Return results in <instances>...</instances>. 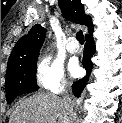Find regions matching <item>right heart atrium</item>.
I'll return each mask as SVG.
<instances>
[{
	"instance_id": "1",
	"label": "right heart atrium",
	"mask_w": 122,
	"mask_h": 123,
	"mask_svg": "<svg viewBox=\"0 0 122 123\" xmlns=\"http://www.w3.org/2000/svg\"><path fill=\"white\" fill-rule=\"evenodd\" d=\"M35 80L44 90L61 93L67 86L62 65L48 56H42L35 68Z\"/></svg>"
}]
</instances>
